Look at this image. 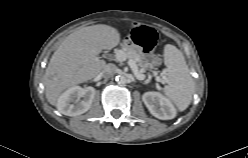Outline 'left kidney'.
I'll return each mask as SVG.
<instances>
[{
    "label": "left kidney",
    "mask_w": 248,
    "mask_h": 158,
    "mask_svg": "<svg viewBox=\"0 0 248 158\" xmlns=\"http://www.w3.org/2000/svg\"><path fill=\"white\" fill-rule=\"evenodd\" d=\"M142 100L150 113L161 120H170L176 117V109L173 104L159 92H146Z\"/></svg>",
    "instance_id": "obj_1"
}]
</instances>
